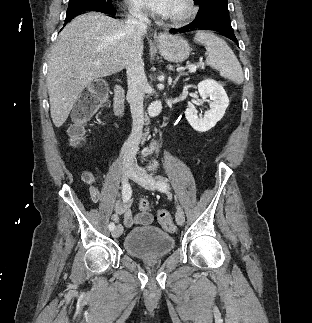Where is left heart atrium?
<instances>
[{
	"label": "left heart atrium",
	"mask_w": 312,
	"mask_h": 323,
	"mask_svg": "<svg viewBox=\"0 0 312 323\" xmlns=\"http://www.w3.org/2000/svg\"><path fill=\"white\" fill-rule=\"evenodd\" d=\"M130 3L139 12H171L173 7L171 0H130Z\"/></svg>",
	"instance_id": "39dd6f15"
}]
</instances>
